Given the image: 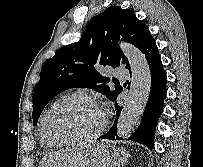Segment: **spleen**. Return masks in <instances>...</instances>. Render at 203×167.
I'll return each instance as SVG.
<instances>
[{"mask_svg": "<svg viewBox=\"0 0 203 167\" xmlns=\"http://www.w3.org/2000/svg\"><path fill=\"white\" fill-rule=\"evenodd\" d=\"M123 162H125V160H122L121 163L123 164Z\"/></svg>", "mask_w": 203, "mask_h": 167, "instance_id": "obj_1", "label": "spleen"}]
</instances>
